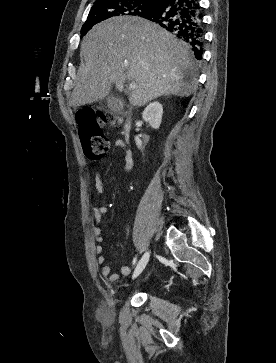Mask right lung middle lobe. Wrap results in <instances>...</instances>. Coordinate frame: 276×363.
<instances>
[{
	"mask_svg": "<svg viewBox=\"0 0 276 363\" xmlns=\"http://www.w3.org/2000/svg\"><path fill=\"white\" fill-rule=\"evenodd\" d=\"M157 7L145 0H99L92 6L87 20L82 26L81 36L85 35L94 25L115 16L148 15Z\"/></svg>",
	"mask_w": 276,
	"mask_h": 363,
	"instance_id": "1",
	"label": "right lung middle lobe"
}]
</instances>
